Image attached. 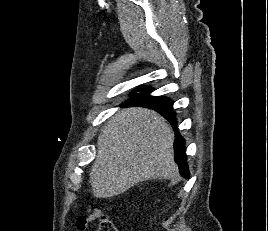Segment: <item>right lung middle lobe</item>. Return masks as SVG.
I'll return each mask as SVG.
<instances>
[{"mask_svg":"<svg viewBox=\"0 0 268 231\" xmlns=\"http://www.w3.org/2000/svg\"><path fill=\"white\" fill-rule=\"evenodd\" d=\"M137 91H140L139 94H134L136 93ZM151 91V88L149 86H145V87H140L138 89H136L132 94H134V96H137L139 98H142V99H150V100H153V101H158V102H164V103H167V104H170L172 105V101L166 97H160V96H150L149 93Z\"/></svg>","mask_w":268,"mask_h":231,"instance_id":"right-lung-middle-lobe-1","label":"right lung middle lobe"}]
</instances>
